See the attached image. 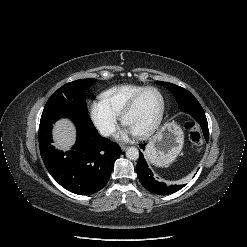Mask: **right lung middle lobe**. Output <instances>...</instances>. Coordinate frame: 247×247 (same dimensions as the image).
Wrapping results in <instances>:
<instances>
[{
	"label": "right lung middle lobe",
	"mask_w": 247,
	"mask_h": 247,
	"mask_svg": "<svg viewBox=\"0 0 247 247\" xmlns=\"http://www.w3.org/2000/svg\"><path fill=\"white\" fill-rule=\"evenodd\" d=\"M96 79H80L63 85L54 92L46 104H66L77 110L88 112L86 91Z\"/></svg>",
	"instance_id": "obj_1"
}]
</instances>
